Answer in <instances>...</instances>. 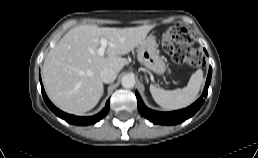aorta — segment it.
I'll return each mask as SVG.
<instances>
[{"mask_svg": "<svg viewBox=\"0 0 258 158\" xmlns=\"http://www.w3.org/2000/svg\"><path fill=\"white\" fill-rule=\"evenodd\" d=\"M121 84L124 88H133L135 85V78L131 75H125L122 77Z\"/></svg>", "mask_w": 258, "mask_h": 158, "instance_id": "aorta-1", "label": "aorta"}]
</instances>
